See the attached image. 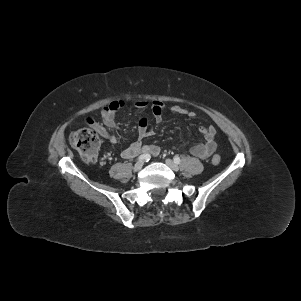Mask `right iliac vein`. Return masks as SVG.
Masks as SVG:
<instances>
[{
  "label": "right iliac vein",
  "mask_w": 301,
  "mask_h": 301,
  "mask_svg": "<svg viewBox=\"0 0 301 301\" xmlns=\"http://www.w3.org/2000/svg\"><path fill=\"white\" fill-rule=\"evenodd\" d=\"M143 165H144V161L139 160L133 168L134 172H138L139 170H141Z\"/></svg>",
  "instance_id": "right-iliac-vein-1"
}]
</instances>
